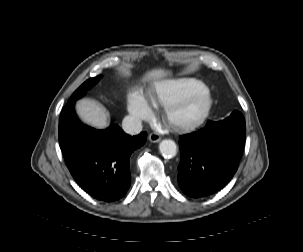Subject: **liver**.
I'll return each instance as SVG.
<instances>
[{
    "label": "liver",
    "instance_id": "obj_1",
    "mask_svg": "<svg viewBox=\"0 0 303 252\" xmlns=\"http://www.w3.org/2000/svg\"><path fill=\"white\" fill-rule=\"evenodd\" d=\"M170 73L163 69H155L146 74L143 81L150 79L159 80ZM77 112L79 116L87 123L97 128H105L108 126V116L104 108L92 100L83 99L77 104Z\"/></svg>",
    "mask_w": 303,
    "mask_h": 252
}]
</instances>
